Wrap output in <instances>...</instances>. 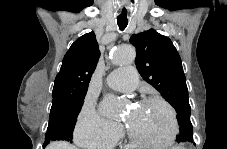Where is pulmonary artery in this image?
<instances>
[{"label": "pulmonary artery", "instance_id": "pulmonary-artery-1", "mask_svg": "<svg viewBox=\"0 0 227 149\" xmlns=\"http://www.w3.org/2000/svg\"><path fill=\"white\" fill-rule=\"evenodd\" d=\"M107 85L119 92H131L138 85V74L133 66L113 70L106 79Z\"/></svg>", "mask_w": 227, "mask_h": 149}]
</instances>
